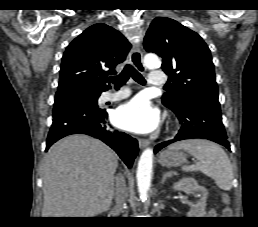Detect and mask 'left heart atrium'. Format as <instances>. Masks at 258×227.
Wrapping results in <instances>:
<instances>
[{"label":"left heart atrium","instance_id":"39dd6f15","mask_svg":"<svg viewBox=\"0 0 258 227\" xmlns=\"http://www.w3.org/2000/svg\"><path fill=\"white\" fill-rule=\"evenodd\" d=\"M115 124L125 130L147 133L156 128L159 112L144 97H136L121 105L114 114Z\"/></svg>","mask_w":258,"mask_h":227}]
</instances>
